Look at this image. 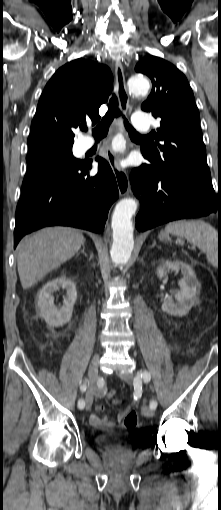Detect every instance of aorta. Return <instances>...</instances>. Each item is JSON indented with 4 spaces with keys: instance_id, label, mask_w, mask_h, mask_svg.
Here are the masks:
<instances>
[{
    "instance_id": "762f6f07",
    "label": "aorta",
    "mask_w": 221,
    "mask_h": 510,
    "mask_svg": "<svg viewBox=\"0 0 221 510\" xmlns=\"http://www.w3.org/2000/svg\"><path fill=\"white\" fill-rule=\"evenodd\" d=\"M128 88L133 94H143L148 92L150 84L146 77L134 75L128 80ZM113 148L116 151H123L125 148V140L121 133L114 138ZM136 210L137 202L133 198L121 199L115 206L111 224L113 244L110 251L115 264H125L130 259L134 247L131 219Z\"/></svg>"
}]
</instances>
